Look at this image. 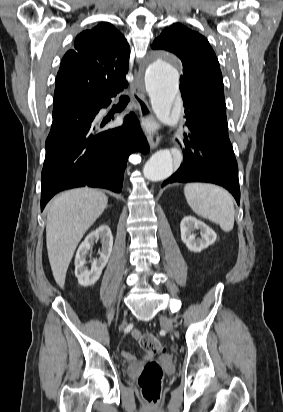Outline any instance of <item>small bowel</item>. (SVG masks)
Here are the masks:
<instances>
[{
	"label": "small bowel",
	"instance_id": "c3829d8e",
	"mask_svg": "<svg viewBox=\"0 0 283 412\" xmlns=\"http://www.w3.org/2000/svg\"><path fill=\"white\" fill-rule=\"evenodd\" d=\"M131 334H132V336H133L134 338H138L141 333H140L139 330H133ZM122 356H123L127 361H133V360H134V356H133L131 353L127 352V351H123V352H122Z\"/></svg>",
	"mask_w": 283,
	"mask_h": 412
}]
</instances>
